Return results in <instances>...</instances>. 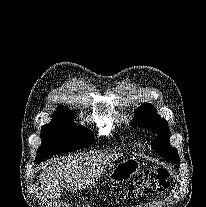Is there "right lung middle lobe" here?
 <instances>
[{"mask_svg":"<svg viewBox=\"0 0 206 207\" xmlns=\"http://www.w3.org/2000/svg\"><path fill=\"white\" fill-rule=\"evenodd\" d=\"M74 112L59 110L53 121L42 127V145L38 149L36 160L51 155L72 152L90 146L93 135L90 130L73 123Z\"/></svg>","mask_w":206,"mask_h":207,"instance_id":"dd1d6c3e","label":"right lung middle lobe"}]
</instances>
